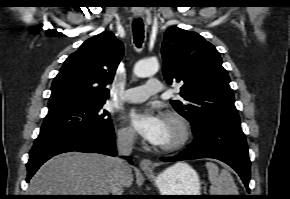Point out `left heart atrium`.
Returning <instances> with one entry per match:
<instances>
[{"mask_svg": "<svg viewBox=\"0 0 290 199\" xmlns=\"http://www.w3.org/2000/svg\"><path fill=\"white\" fill-rule=\"evenodd\" d=\"M128 118L134 130L144 140L158 145L165 126L163 114L154 108L134 109L130 112Z\"/></svg>", "mask_w": 290, "mask_h": 199, "instance_id": "left-heart-atrium-1", "label": "left heart atrium"}]
</instances>
